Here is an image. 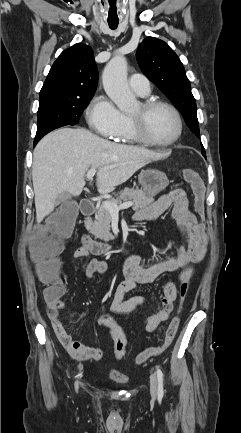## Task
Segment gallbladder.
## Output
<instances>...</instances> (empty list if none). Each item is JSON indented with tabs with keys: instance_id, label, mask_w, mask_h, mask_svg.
<instances>
[{
	"instance_id": "bac80fb5",
	"label": "gallbladder",
	"mask_w": 241,
	"mask_h": 433,
	"mask_svg": "<svg viewBox=\"0 0 241 433\" xmlns=\"http://www.w3.org/2000/svg\"><path fill=\"white\" fill-rule=\"evenodd\" d=\"M71 200V194L68 192H62L60 193L56 200H55V204L61 203V202H68L67 206L64 205L65 209H68L69 212L72 214V216L75 218L78 214V204L75 201H70Z\"/></svg>"
}]
</instances>
